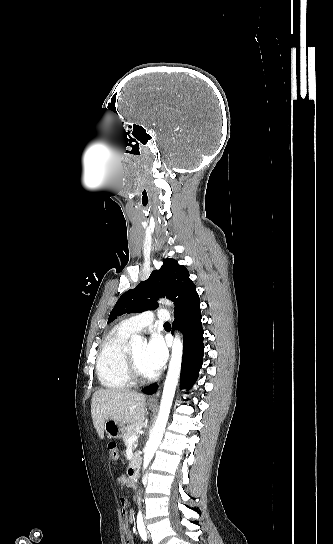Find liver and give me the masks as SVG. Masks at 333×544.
<instances>
[{"label":"liver","instance_id":"1","mask_svg":"<svg viewBox=\"0 0 333 544\" xmlns=\"http://www.w3.org/2000/svg\"><path fill=\"white\" fill-rule=\"evenodd\" d=\"M145 396L126 389H99L91 401V416L94 427L102 439L104 424L114 420L122 424H134L143 418Z\"/></svg>","mask_w":333,"mask_h":544}]
</instances>
